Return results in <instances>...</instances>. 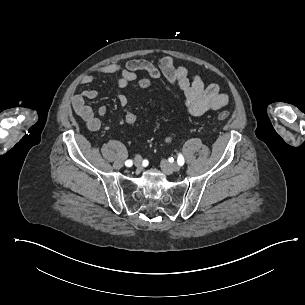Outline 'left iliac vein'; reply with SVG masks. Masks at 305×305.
<instances>
[{
	"label": "left iliac vein",
	"mask_w": 305,
	"mask_h": 305,
	"mask_svg": "<svg viewBox=\"0 0 305 305\" xmlns=\"http://www.w3.org/2000/svg\"><path fill=\"white\" fill-rule=\"evenodd\" d=\"M161 168L162 170L166 173V174H170L171 172H178L181 169V166L177 163H168L165 160H162L160 162Z\"/></svg>",
	"instance_id": "1"
}]
</instances>
